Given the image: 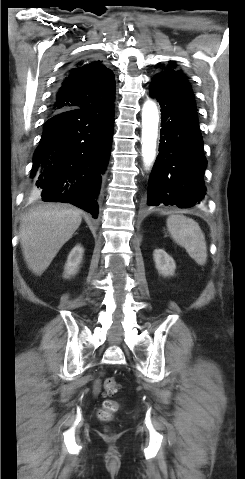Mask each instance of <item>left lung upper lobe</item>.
Segmentation results:
<instances>
[{
    "label": "left lung upper lobe",
    "instance_id": "1",
    "mask_svg": "<svg viewBox=\"0 0 245 479\" xmlns=\"http://www.w3.org/2000/svg\"><path fill=\"white\" fill-rule=\"evenodd\" d=\"M176 64L172 61L169 62V65L167 67H163L162 70L155 74L153 78H173V77H186L185 74H183L180 70H175ZM158 67H161L159 65Z\"/></svg>",
    "mask_w": 245,
    "mask_h": 479
}]
</instances>
